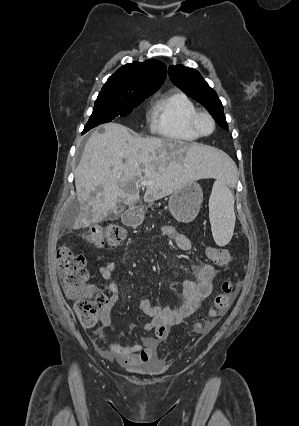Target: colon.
Wrapping results in <instances>:
<instances>
[{
    "mask_svg": "<svg viewBox=\"0 0 299 426\" xmlns=\"http://www.w3.org/2000/svg\"><path fill=\"white\" fill-rule=\"evenodd\" d=\"M125 238L122 227L109 224L93 228L86 234L87 241L94 246H116ZM209 260L219 266H226L232 260L226 249L210 246L206 249ZM57 264L61 282L66 296L75 301V310L85 327H93L102 308L107 304L106 296L88 284V272L84 256L62 247L57 253ZM236 286L231 281H224L219 293L214 297L209 311L210 320L195 325L193 331L197 334L207 333L222 317L233 301Z\"/></svg>",
    "mask_w": 299,
    "mask_h": 426,
    "instance_id": "obj_1",
    "label": "colon"
}]
</instances>
